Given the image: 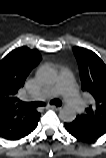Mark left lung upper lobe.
<instances>
[{
	"instance_id": "left-lung-upper-lobe-1",
	"label": "left lung upper lobe",
	"mask_w": 106,
	"mask_h": 158,
	"mask_svg": "<svg viewBox=\"0 0 106 158\" xmlns=\"http://www.w3.org/2000/svg\"><path fill=\"white\" fill-rule=\"evenodd\" d=\"M73 51L79 65L81 88L89 92L94 101L72 124L94 139L106 131V65L88 49L74 47Z\"/></svg>"
}]
</instances>
